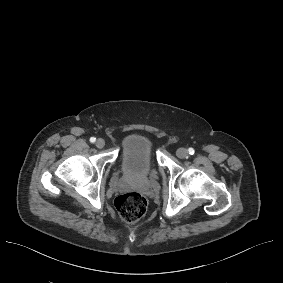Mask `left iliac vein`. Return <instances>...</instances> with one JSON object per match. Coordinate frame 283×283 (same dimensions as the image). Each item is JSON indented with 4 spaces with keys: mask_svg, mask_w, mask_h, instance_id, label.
I'll return each mask as SVG.
<instances>
[{
    "mask_svg": "<svg viewBox=\"0 0 283 283\" xmlns=\"http://www.w3.org/2000/svg\"><path fill=\"white\" fill-rule=\"evenodd\" d=\"M176 153H177V156L181 159H185L189 155L188 150L185 148H179Z\"/></svg>",
    "mask_w": 283,
    "mask_h": 283,
    "instance_id": "left-iliac-vein-1",
    "label": "left iliac vein"
}]
</instances>
